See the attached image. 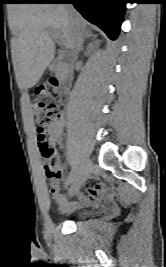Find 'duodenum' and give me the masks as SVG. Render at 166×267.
Returning <instances> with one entry per match:
<instances>
[{
	"label": "duodenum",
	"instance_id": "1",
	"mask_svg": "<svg viewBox=\"0 0 166 267\" xmlns=\"http://www.w3.org/2000/svg\"><path fill=\"white\" fill-rule=\"evenodd\" d=\"M50 68L56 73L62 82L64 90L68 91L73 81V69L71 65L65 62H52Z\"/></svg>",
	"mask_w": 166,
	"mask_h": 267
}]
</instances>
